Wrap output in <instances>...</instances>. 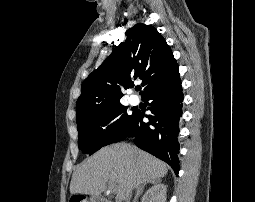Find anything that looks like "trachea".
Segmentation results:
<instances>
[{
	"instance_id": "1",
	"label": "trachea",
	"mask_w": 255,
	"mask_h": 202,
	"mask_svg": "<svg viewBox=\"0 0 255 202\" xmlns=\"http://www.w3.org/2000/svg\"><path fill=\"white\" fill-rule=\"evenodd\" d=\"M135 89H136V91H140V90H141V87L138 86V87H136Z\"/></svg>"
}]
</instances>
